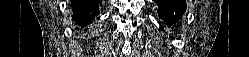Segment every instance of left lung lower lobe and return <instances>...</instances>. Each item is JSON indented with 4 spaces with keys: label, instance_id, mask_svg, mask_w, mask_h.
Here are the masks:
<instances>
[{
    "label": "left lung lower lobe",
    "instance_id": "obj_1",
    "mask_svg": "<svg viewBox=\"0 0 249 57\" xmlns=\"http://www.w3.org/2000/svg\"><path fill=\"white\" fill-rule=\"evenodd\" d=\"M158 5L159 18L167 21V26L177 22L185 13V0H154Z\"/></svg>",
    "mask_w": 249,
    "mask_h": 57
}]
</instances>
